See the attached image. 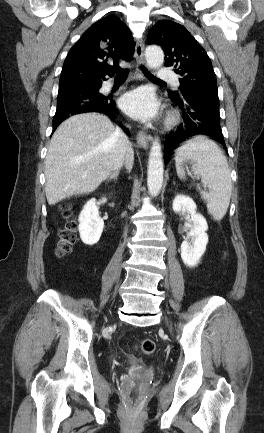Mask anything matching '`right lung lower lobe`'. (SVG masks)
<instances>
[{"mask_svg":"<svg viewBox=\"0 0 264 433\" xmlns=\"http://www.w3.org/2000/svg\"><path fill=\"white\" fill-rule=\"evenodd\" d=\"M101 84L102 81L97 80L59 88L52 133L69 116L79 113L100 112L114 118V115L117 114L115 101L112 95L99 93ZM120 126L129 135L128 129L122 125Z\"/></svg>","mask_w":264,"mask_h":433,"instance_id":"right-lung-lower-lobe-1","label":"right lung lower lobe"}]
</instances>
